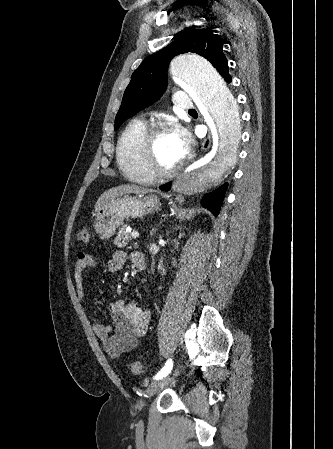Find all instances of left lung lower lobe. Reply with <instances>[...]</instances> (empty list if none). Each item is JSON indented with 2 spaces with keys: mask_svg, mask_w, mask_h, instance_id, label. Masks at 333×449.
Instances as JSON below:
<instances>
[{
  "mask_svg": "<svg viewBox=\"0 0 333 449\" xmlns=\"http://www.w3.org/2000/svg\"><path fill=\"white\" fill-rule=\"evenodd\" d=\"M222 77H224V79L228 83L231 82V77L228 73L222 75ZM170 186H171V184L168 183L166 185L161 186L160 189L162 191H168V190H170ZM226 188H227V183L223 184L221 187H219L215 191L205 194L203 197V200H202L203 206L205 208H207L208 210H210L215 216H217L219 213Z\"/></svg>",
  "mask_w": 333,
  "mask_h": 449,
  "instance_id": "1",
  "label": "left lung lower lobe"
}]
</instances>
